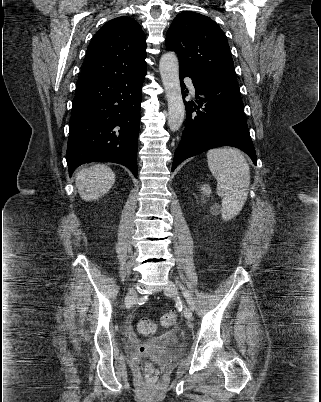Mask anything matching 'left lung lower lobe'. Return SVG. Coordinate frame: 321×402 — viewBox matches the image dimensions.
<instances>
[{
	"instance_id": "obj_1",
	"label": "left lung lower lobe",
	"mask_w": 321,
	"mask_h": 402,
	"mask_svg": "<svg viewBox=\"0 0 321 402\" xmlns=\"http://www.w3.org/2000/svg\"><path fill=\"white\" fill-rule=\"evenodd\" d=\"M182 93L184 77H190L196 102H185L186 127L175 151L172 171L183 160L211 148L233 146L257 163L237 80L197 77L179 70Z\"/></svg>"
}]
</instances>
